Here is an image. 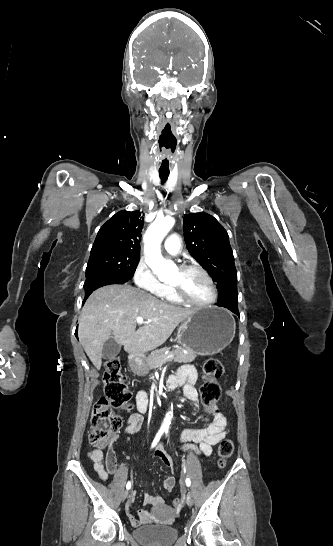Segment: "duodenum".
<instances>
[{
  "label": "duodenum",
  "mask_w": 333,
  "mask_h": 546,
  "mask_svg": "<svg viewBox=\"0 0 333 546\" xmlns=\"http://www.w3.org/2000/svg\"><path fill=\"white\" fill-rule=\"evenodd\" d=\"M167 386L169 389H175L177 387L176 383L172 381L171 378L168 379Z\"/></svg>",
  "instance_id": "410a0bca"
}]
</instances>
